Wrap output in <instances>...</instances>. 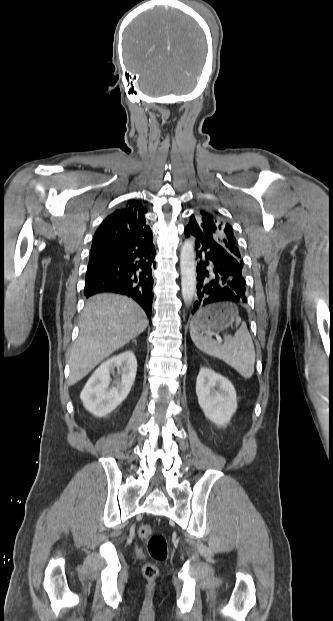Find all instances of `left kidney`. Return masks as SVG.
<instances>
[{"mask_svg":"<svg viewBox=\"0 0 333 621\" xmlns=\"http://www.w3.org/2000/svg\"><path fill=\"white\" fill-rule=\"evenodd\" d=\"M198 403L205 416L218 426L226 425L237 409L236 390L232 383L202 367L196 381Z\"/></svg>","mask_w":333,"mask_h":621,"instance_id":"obj_1","label":"left kidney"}]
</instances>
